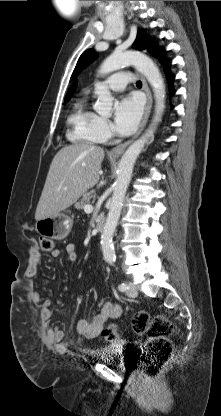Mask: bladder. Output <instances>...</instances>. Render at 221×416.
<instances>
[{
    "mask_svg": "<svg viewBox=\"0 0 221 416\" xmlns=\"http://www.w3.org/2000/svg\"><path fill=\"white\" fill-rule=\"evenodd\" d=\"M112 357H113V352L111 351L110 347H106L105 352H104L103 362L107 364H112V360H111Z\"/></svg>",
    "mask_w": 221,
    "mask_h": 416,
    "instance_id": "bladder-1",
    "label": "bladder"
}]
</instances>
